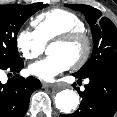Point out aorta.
Returning a JSON list of instances; mask_svg holds the SVG:
<instances>
[{
	"mask_svg": "<svg viewBox=\"0 0 117 117\" xmlns=\"http://www.w3.org/2000/svg\"><path fill=\"white\" fill-rule=\"evenodd\" d=\"M56 108L65 114L71 113L79 104L78 94L70 89L60 91L55 96Z\"/></svg>",
	"mask_w": 117,
	"mask_h": 117,
	"instance_id": "762f6f07",
	"label": "aorta"
}]
</instances>
